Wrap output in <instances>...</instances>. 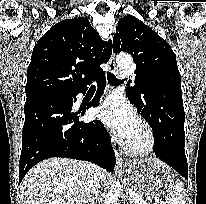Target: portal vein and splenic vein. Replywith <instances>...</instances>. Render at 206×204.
<instances>
[{
    "instance_id": "obj_1",
    "label": "portal vein and splenic vein",
    "mask_w": 206,
    "mask_h": 204,
    "mask_svg": "<svg viewBox=\"0 0 206 204\" xmlns=\"http://www.w3.org/2000/svg\"><path fill=\"white\" fill-rule=\"evenodd\" d=\"M129 195H130L131 197L137 198L139 204H145V203L143 202V200L139 198L138 194H136L134 191L130 190V191H129ZM158 203H159V198H158V197H155V203H154V204H158Z\"/></svg>"
}]
</instances>
